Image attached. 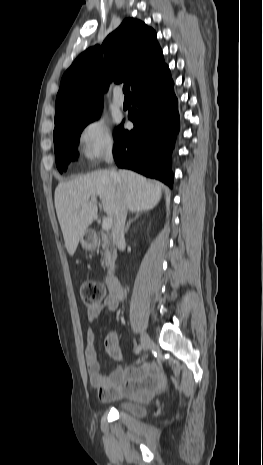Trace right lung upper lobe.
I'll use <instances>...</instances> for the list:
<instances>
[{
    "instance_id": "1",
    "label": "right lung upper lobe",
    "mask_w": 263,
    "mask_h": 465,
    "mask_svg": "<svg viewBox=\"0 0 263 465\" xmlns=\"http://www.w3.org/2000/svg\"><path fill=\"white\" fill-rule=\"evenodd\" d=\"M166 66L156 32L140 20H123L101 47L81 53L63 75L55 123L74 111L103 105L108 82L130 83L133 91Z\"/></svg>"
}]
</instances>
